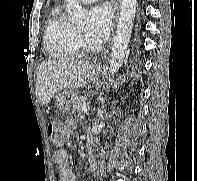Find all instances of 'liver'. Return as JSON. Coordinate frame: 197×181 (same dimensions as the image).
Returning a JSON list of instances; mask_svg holds the SVG:
<instances>
[{
	"instance_id": "liver-1",
	"label": "liver",
	"mask_w": 197,
	"mask_h": 181,
	"mask_svg": "<svg viewBox=\"0 0 197 181\" xmlns=\"http://www.w3.org/2000/svg\"><path fill=\"white\" fill-rule=\"evenodd\" d=\"M95 66L88 61L74 58L46 60L36 73V97L47 105L63 89L86 86L95 75Z\"/></svg>"
}]
</instances>
